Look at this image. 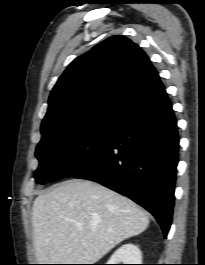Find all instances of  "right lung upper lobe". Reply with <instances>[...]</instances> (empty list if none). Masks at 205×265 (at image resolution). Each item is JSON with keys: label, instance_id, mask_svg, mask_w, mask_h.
<instances>
[{"label": "right lung upper lobe", "instance_id": "1", "mask_svg": "<svg viewBox=\"0 0 205 265\" xmlns=\"http://www.w3.org/2000/svg\"><path fill=\"white\" fill-rule=\"evenodd\" d=\"M164 92L146 53L115 35L70 63L51 91L41 132L62 133L96 122L119 124Z\"/></svg>", "mask_w": 205, "mask_h": 265}]
</instances>
